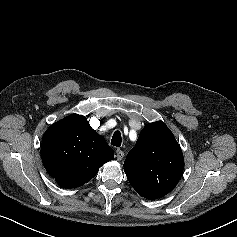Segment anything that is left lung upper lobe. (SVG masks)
Here are the masks:
<instances>
[{"instance_id":"1","label":"left lung upper lobe","mask_w":237,"mask_h":237,"mask_svg":"<svg viewBox=\"0 0 237 237\" xmlns=\"http://www.w3.org/2000/svg\"><path fill=\"white\" fill-rule=\"evenodd\" d=\"M184 158L172 132L161 122L146 125L124 162L132 187L149 200L168 194L177 185Z\"/></svg>"}]
</instances>
